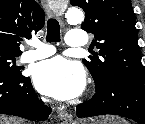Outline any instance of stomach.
I'll return each instance as SVG.
<instances>
[{"mask_svg": "<svg viewBox=\"0 0 145 124\" xmlns=\"http://www.w3.org/2000/svg\"><path fill=\"white\" fill-rule=\"evenodd\" d=\"M81 124H125L123 119L114 116L100 117L90 121H84Z\"/></svg>", "mask_w": 145, "mask_h": 124, "instance_id": "1", "label": "stomach"}]
</instances>
